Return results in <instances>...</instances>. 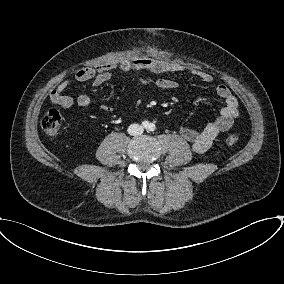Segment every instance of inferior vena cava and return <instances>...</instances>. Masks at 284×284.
Here are the masks:
<instances>
[{"mask_svg": "<svg viewBox=\"0 0 284 284\" xmlns=\"http://www.w3.org/2000/svg\"><path fill=\"white\" fill-rule=\"evenodd\" d=\"M128 134L131 136L140 135L143 133V127L139 124H131L128 127Z\"/></svg>", "mask_w": 284, "mask_h": 284, "instance_id": "602c4592", "label": "inferior vena cava"}]
</instances>
